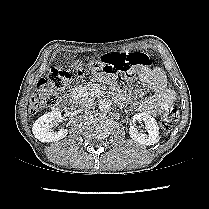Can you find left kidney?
Wrapping results in <instances>:
<instances>
[{
  "instance_id": "1",
  "label": "left kidney",
  "mask_w": 209,
  "mask_h": 209,
  "mask_svg": "<svg viewBox=\"0 0 209 209\" xmlns=\"http://www.w3.org/2000/svg\"><path fill=\"white\" fill-rule=\"evenodd\" d=\"M133 121H143L148 135L140 133L134 126L130 127V137L142 145H154L159 141V127L156 120L148 114L138 113L133 117Z\"/></svg>"
}]
</instances>
